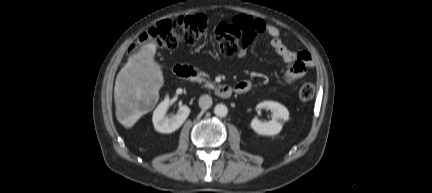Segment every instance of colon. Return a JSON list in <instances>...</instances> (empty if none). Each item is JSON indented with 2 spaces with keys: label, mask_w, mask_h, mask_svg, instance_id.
I'll use <instances>...</instances> for the list:
<instances>
[{
  "label": "colon",
  "mask_w": 432,
  "mask_h": 193,
  "mask_svg": "<svg viewBox=\"0 0 432 193\" xmlns=\"http://www.w3.org/2000/svg\"><path fill=\"white\" fill-rule=\"evenodd\" d=\"M207 30V19L202 14L180 17L177 20H163L149 27L138 40L139 44L152 42L158 47L173 50L181 43L195 45ZM212 36L218 51L224 56H234L246 48L254 35L243 24L221 22L212 28ZM315 85L307 82L300 87L299 97L311 100L315 95Z\"/></svg>",
  "instance_id": "1"
}]
</instances>
